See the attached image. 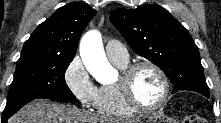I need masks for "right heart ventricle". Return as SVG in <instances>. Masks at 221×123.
I'll return each mask as SVG.
<instances>
[{"instance_id":"e07e8e85","label":"right heart ventricle","mask_w":221,"mask_h":123,"mask_svg":"<svg viewBox=\"0 0 221 123\" xmlns=\"http://www.w3.org/2000/svg\"><path fill=\"white\" fill-rule=\"evenodd\" d=\"M113 63L121 70L128 66V63ZM95 108L101 116L112 119L129 118L136 113L123 100L117 83L103 85L99 88L98 100Z\"/></svg>"}]
</instances>
